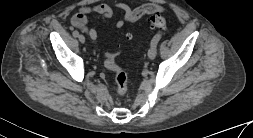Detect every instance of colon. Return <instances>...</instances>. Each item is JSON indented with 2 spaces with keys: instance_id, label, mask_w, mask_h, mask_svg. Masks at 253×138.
I'll use <instances>...</instances> for the list:
<instances>
[{
  "instance_id": "colon-1",
  "label": "colon",
  "mask_w": 253,
  "mask_h": 138,
  "mask_svg": "<svg viewBox=\"0 0 253 138\" xmlns=\"http://www.w3.org/2000/svg\"><path fill=\"white\" fill-rule=\"evenodd\" d=\"M148 21H149V24L152 28H156V29H159V30L167 29L166 19L158 13L152 14L149 17ZM128 37L130 38L131 35L128 34ZM117 55H118L117 53H108V54H106L104 64L109 70L114 72L117 93L120 96H122L127 91V74L117 64V62L115 60Z\"/></svg>"
}]
</instances>
